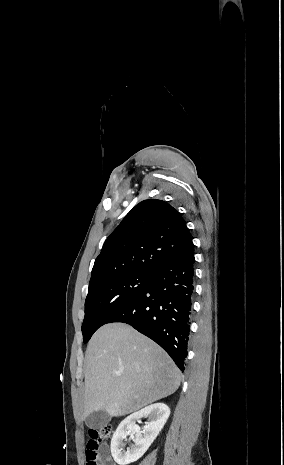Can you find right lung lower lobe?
<instances>
[{"label": "right lung lower lobe", "mask_w": 284, "mask_h": 465, "mask_svg": "<svg viewBox=\"0 0 284 465\" xmlns=\"http://www.w3.org/2000/svg\"><path fill=\"white\" fill-rule=\"evenodd\" d=\"M194 246L160 268L108 323H127L159 344L184 371L194 300Z\"/></svg>", "instance_id": "obj_1"}]
</instances>
